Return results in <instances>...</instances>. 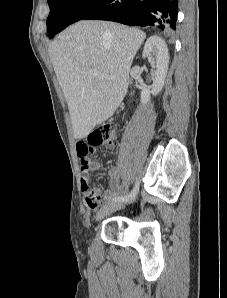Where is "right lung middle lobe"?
<instances>
[{
  "mask_svg": "<svg viewBox=\"0 0 227 298\" xmlns=\"http://www.w3.org/2000/svg\"><path fill=\"white\" fill-rule=\"evenodd\" d=\"M104 0H48L50 14L47 18L49 37L70 24L83 19Z\"/></svg>",
  "mask_w": 227,
  "mask_h": 298,
  "instance_id": "1",
  "label": "right lung middle lobe"
}]
</instances>
